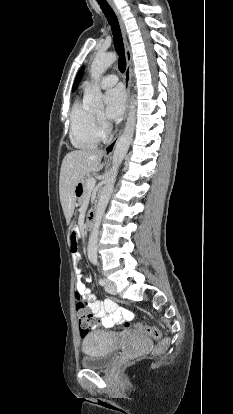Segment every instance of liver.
Instances as JSON below:
<instances>
[{"instance_id":"1","label":"liver","mask_w":233,"mask_h":414,"mask_svg":"<svg viewBox=\"0 0 233 414\" xmlns=\"http://www.w3.org/2000/svg\"><path fill=\"white\" fill-rule=\"evenodd\" d=\"M102 157L103 151L95 148L74 150L64 157L60 170L59 193L67 223L70 222L75 208V187L85 175L103 168Z\"/></svg>"}]
</instances>
